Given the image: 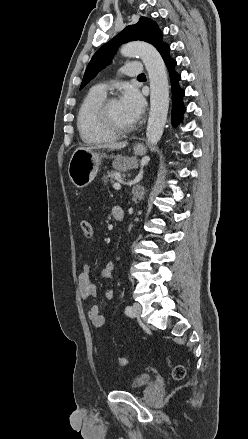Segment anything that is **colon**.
I'll return each mask as SVG.
<instances>
[{
	"label": "colon",
	"mask_w": 248,
	"mask_h": 439,
	"mask_svg": "<svg viewBox=\"0 0 248 439\" xmlns=\"http://www.w3.org/2000/svg\"><path fill=\"white\" fill-rule=\"evenodd\" d=\"M81 229H82L83 234H84L85 237H87V238H91L92 237L93 226H92L90 221H87V220L83 221L81 223ZM126 363H127L126 358H122L121 357V358L117 359L118 366L123 367V366L126 365ZM185 374H186L185 367L183 365H181V364L176 365L173 368V370H172V377L175 380H182L185 377Z\"/></svg>",
	"instance_id": "5ec220e1"
}]
</instances>
